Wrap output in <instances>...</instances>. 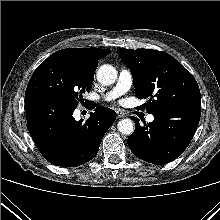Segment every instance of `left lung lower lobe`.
Instances as JSON below:
<instances>
[{"label":"left lung lower lobe","mask_w":220,"mask_h":220,"mask_svg":"<svg viewBox=\"0 0 220 220\" xmlns=\"http://www.w3.org/2000/svg\"><path fill=\"white\" fill-rule=\"evenodd\" d=\"M154 121L141 126L128 138L130 150L138 158L157 165L176 159L188 147L201 115L200 103L180 104L152 113Z\"/></svg>","instance_id":"0a47b994"}]
</instances>
